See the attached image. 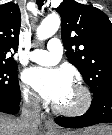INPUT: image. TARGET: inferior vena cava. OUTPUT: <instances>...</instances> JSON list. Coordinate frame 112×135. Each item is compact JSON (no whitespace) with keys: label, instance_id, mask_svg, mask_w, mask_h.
<instances>
[{"label":"inferior vena cava","instance_id":"obj_1","mask_svg":"<svg viewBox=\"0 0 112 135\" xmlns=\"http://www.w3.org/2000/svg\"><path fill=\"white\" fill-rule=\"evenodd\" d=\"M39 118L40 100L38 98H26L19 119L22 135H35L38 130Z\"/></svg>","mask_w":112,"mask_h":135}]
</instances>
